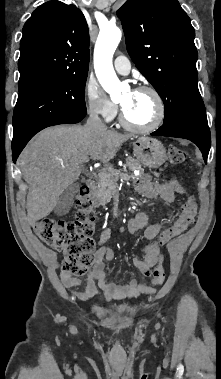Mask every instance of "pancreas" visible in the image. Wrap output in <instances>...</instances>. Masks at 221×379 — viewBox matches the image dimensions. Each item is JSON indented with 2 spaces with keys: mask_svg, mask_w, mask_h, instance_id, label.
<instances>
[{
  "mask_svg": "<svg viewBox=\"0 0 221 379\" xmlns=\"http://www.w3.org/2000/svg\"><path fill=\"white\" fill-rule=\"evenodd\" d=\"M127 165L130 170H138L140 174H143V168L140 164V162L134 158H127ZM120 171L116 170L114 168H107L103 170L99 174V180L97 182V186L94 190V194L96 197L103 203H107L111 200L112 196L116 193V187H117V180H118V173ZM155 175L158 177L159 174L155 173ZM121 176L125 180H130L131 178L133 180L137 179L139 176H133V175H128L125 173H122Z\"/></svg>",
  "mask_w": 221,
  "mask_h": 379,
  "instance_id": "pancreas-1",
  "label": "pancreas"
}]
</instances>
